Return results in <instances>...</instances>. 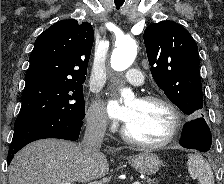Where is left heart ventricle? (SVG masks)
<instances>
[{"mask_svg": "<svg viewBox=\"0 0 224 184\" xmlns=\"http://www.w3.org/2000/svg\"><path fill=\"white\" fill-rule=\"evenodd\" d=\"M129 105L133 113L126 125L132 137L145 142H158L168 135L172 116L165 106L140 100H132Z\"/></svg>", "mask_w": 224, "mask_h": 184, "instance_id": "obj_1", "label": "left heart ventricle"}]
</instances>
